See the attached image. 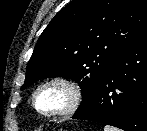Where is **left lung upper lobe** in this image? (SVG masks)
Returning <instances> with one entry per match:
<instances>
[{
  "label": "left lung upper lobe",
  "instance_id": "1",
  "mask_svg": "<svg viewBox=\"0 0 147 131\" xmlns=\"http://www.w3.org/2000/svg\"><path fill=\"white\" fill-rule=\"evenodd\" d=\"M147 37V0H73L39 37L21 89L43 78L79 83L83 109L116 58Z\"/></svg>",
  "mask_w": 147,
  "mask_h": 131
}]
</instances>
